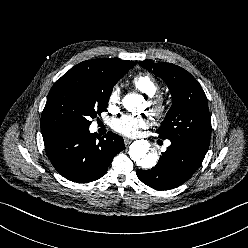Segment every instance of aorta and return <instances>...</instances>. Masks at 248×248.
Segmentation results:
<instances>
[{
    "instance_id": "762f6f07",
    "label": "aorta",
    "mask_w": 248,
    "mask_h": 248,
    "mask_svg": "<svg viewBox=\"0 0 248 248\" xmlns=\"http://www.w3.org/2000/svg\"><path fill=\"white\" fill-rule=\"evenodd\" d=\"M123 106L132 113L140 111L143 107V98L138 94H128L123 98ZM150 143L147 140H136L129 147V156L137 165L149 169L156 165L158 154L150 152Z\"/></svg>"
}]
</instances>
